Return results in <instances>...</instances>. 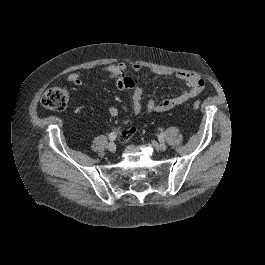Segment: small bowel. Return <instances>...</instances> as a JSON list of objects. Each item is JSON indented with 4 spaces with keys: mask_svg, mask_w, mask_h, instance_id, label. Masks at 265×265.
Returning <instances> with one entry per match:
<instances>
[{
    "mask_svg": "<svg viewBox=\"0 0 265 265\" xmlns=\"http://www.w3.org/2000/svg\"><path fill=\"white\" fill-rule=\"evenodd\" d=\"M137 72L141 69L139 64H132L129 66L125 62H120L117 64H109L101 69V72L107 74L110 78L114 79L116 82V87L121 91H132V109L135 114L141 113L143 110V91L135 85L132 78L126 75L128 69ZM92 67H87L85 70H91ZM152 73L156 75H174L177 79L184 81L187 89L184 90L177 96L166 98L160 101H155L150 99L146 103V112L152 114L155 112H165L174 109L175 107L184 104L188 100L199 95L204 88V79L194 73L189 72H176L170 73L160 69H152ZM69 83L76 86H81L83 83V74L81 72H73L69 74L66 78ZM108 113L111 117H117L119 110L116 106H109ZM136 132L135 128L129 130H124L119 134V138L124 141L129 139Z\"/></svg>",
    "mask_w": 265,
    "mask_h": 265,
    "instance_id": "c3829d8e",
    "label": "small bowel"
}]
</instances>
